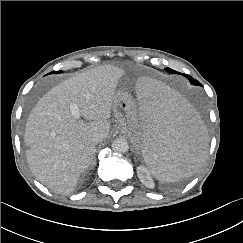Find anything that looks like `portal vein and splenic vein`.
<instances>
[{"label":"portal vein and splenic vein","instance_id":"portal-vein-and-splenic-vein-1","mask_svg":"<svg viewBox=\"0 0 243 243\" xmlns=\"http://www.w3.org/2000/svg\"><path fill=\"white\" fill-rule=\"evenodd\" d=\"M70 110H71L73 116L76 119H79L80 118V110H79V107L76 104H71L70 105Z\"/></svg>","mask_w":243,"mask_h":243}]
</instances>
